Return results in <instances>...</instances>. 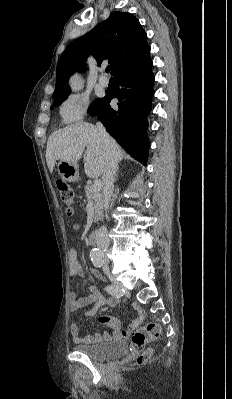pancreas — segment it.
Returning a JSON list of instances; mask_svg holds the SVG:
<instances>
[{
    "label": "pancreas",
    "instance_id": "obj_1",
    "mask_svg": "<svg viewBox=\"0 0 232 399\" xmlns=\"http://www.w3.org/2000/svg\"><path fill=\"white\" fill-rule=\"evenodd\" d=\"M85 194L88 201H91L94 209H95V219L94 221H99V219H103V207H104V200L103 194L101 192H95L93 190V186L88 184L85 186Z\"/></svg>",
    "mask_w": 232,
    "mask_h": 399
}]
</instances>
